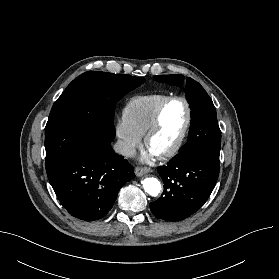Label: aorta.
<instances>
[{
  "mask_svg": "<svg viewBox=\"0 0 279 279\" xmlns=\"http://www.w3.org/2000/svg\"><path fill=\"white\" fill-rule=\"evenodd\" d=\"M144 190L151 196H158L161 191V184L158 179L154 177H147L142 182Z\"/></svg>",
  "mask_w": 279,
  "mask_h": 279,
  "instance_id": "1",
  "label": "aorta"
}]
</instances>
